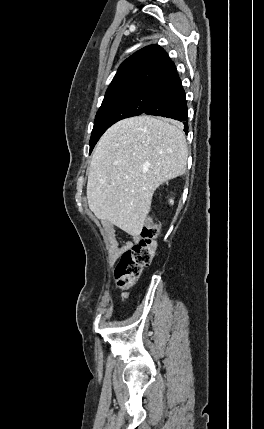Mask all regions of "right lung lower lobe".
Returning a JSON list of instances; mask_svg holds the SVG:
<instances>
[{
	"label": "right lung lower lobe",
	"instance_id": "1",
	"mask_svg": "<svg viewBox=\"0 0 264 429\" xmlns=\"http://www.w3.org/2000/svg\"><path fill=\"white\" fill-rule=\"evenodd\" d=\"M143 113L181 121L188 133L186 97L177 73L160 87Z\"/></svg>",
	"mask_w": 264,
	"mask_h": 429
}]
</instances>
